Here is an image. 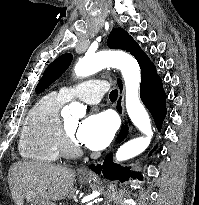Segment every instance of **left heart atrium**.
<instances>
[{"label":"left heart atrium","mask_w":199,"mask_h":205,"mask_svg":"<svg viewBox=\"0 0 199 205\" xmlns=\"http://www.w3.org/2000/svg\"><path fill=\"white\" fill-rule=\"evenodd\" d=\"M116 129V120L112 114L94 113L80 123L76 140L91 150H102L110 144Z\"/></svg>","instance_id":"39dd6f15"}]
</instances>
